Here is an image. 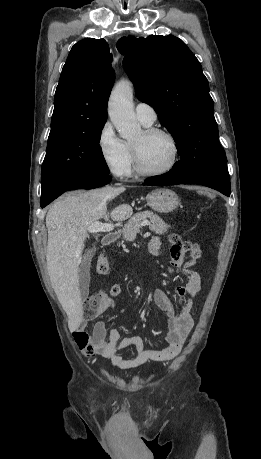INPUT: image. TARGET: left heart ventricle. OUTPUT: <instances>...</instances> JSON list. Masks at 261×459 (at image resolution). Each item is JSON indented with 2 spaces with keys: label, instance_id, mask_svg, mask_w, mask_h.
<instances>
[{
  "label": "left heart ventricle",
  "instance_id": "b2bd125f",
  "mask_svg": "<svg viewBox=\"0 0 261 459\" xmlns=\"http://www.w3.org/2000/svg\"><path fill=\"white\" fill-rule=\"evenodd\" d=\"M132 144L138 148L142 164L147 169H163L171 161L172 145L164 135L146 136L142 131Z\"/></svg>",
  "mask_w": 261,
  "mask_h": 459
}]
</instances>
